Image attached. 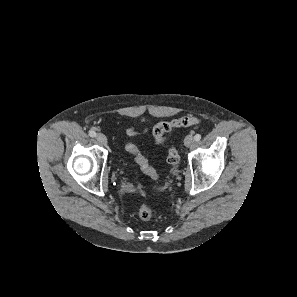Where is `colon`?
I'll use <instances>...</instances> for the list:
<instances>
[{"label": "colon", "mask_w": 297, "mask_h": 297, "mask_svg": "<svg viewBox=\"0 0 297 297\" xmlns=\"http://www.w3.org/2000/svg\"><path fill=\"white\" fill-rule=\"evenodd\" d=\"M197 122V119L192 116H183L169 121H161L157 123L153 129L154 140L157 144H162L165 142V134L167 132L171 131L174 128L193 126L197 124ZM125 150L135 156V160L139 164L143 172L154 179L158 178V174L156 173L155 169L149 165L147 159L141 155L134 144H127L125 146ZM167 161L174 166L180 162V155L175 148H169ZM139 189L141 190L140 187ZM138 215L142 220H149L153 215L152 206L147 202L142 203L138 209Z\"/></svg>", "instance_id": "1"}]
</instances>
